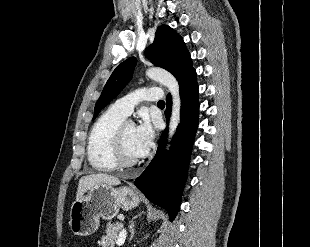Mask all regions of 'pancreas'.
Returning <instances> with one entry per match:
<instances>
[{
	"label": "pancreas",
	"mask_w": 310,
	"mask_h": 247,
	"mask_svg": "<svg viewBox=\"0 0 310 247\" xmlns=\"http://www.w3.org/2000/svg\"><path fill=\"white\" fill-rule=\"evenodd\" d=\"M122 228V223H108L105 235L101 238L102 247H115L116 241L119 237L120 232L122 231Z\"/></svg>",
	"instance_id": "1"
}]
</instances>
